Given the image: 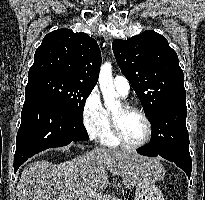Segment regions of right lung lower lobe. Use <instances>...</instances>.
<instances>
[{
    "instance_id": "1",
    "label": "right lung lower lobe",
    "mask_w": 205,
    "mask_h": 200,
    "mask_svg": "<svg viewBox=\"0 0 205 200\" xmlns=\"http://www.w3.org/2000/svg\"><path fill=\"white\" fill-rule=\"evenodd\" d=\"M85 140H88V134L83 121L52 99L37 93H27L16 138L14 172L28 158L43 150Z\"/></svg>"
}]
</instances>
